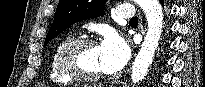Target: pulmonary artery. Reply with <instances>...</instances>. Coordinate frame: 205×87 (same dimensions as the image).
<instances>
[{
	"label": "pulmonary artery",
	"mask_w": 205,
	"mask_h": 87,
	"mask_svg": "<svg viewBox=\"0 0 205 87\" xmlns=\"http://www.w3.org/2000/svg\"><path fill=\"white\" fill-rule=\"evenodd\" d=\"M134 14V6L131 4L121 5L117 12L118 17L121 19H130L134 16Z\"/></svg>",
	"instance_id": "e3ab8cb5"
}]
</instances>
